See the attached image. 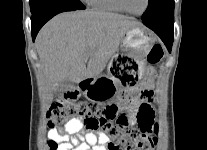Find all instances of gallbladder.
Here are the masks:
<instances>
[{
  "label": "gallbladder",
  "instance_id": "1",
  "mask_svg": "<svg viewBox=\"0 0 207 150\" xmlns=\"http://www.w3.org/2000/svg\"><path fill=\"white\" fill-rule=\"evenodd\" d=\"M73 88V84L70 80H64L62 82L59 83L55 93L56 95L60 96L62 95L64 92L70 90Z\"/></svg>",
  "mask_w": 207,
  "mask_h": 150
}]
</instances>
